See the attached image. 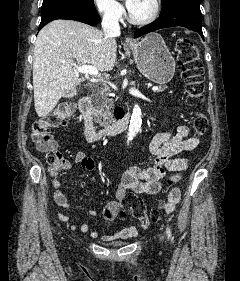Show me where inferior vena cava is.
<instances>
[{
	"instance_id": "602c4592",
	"label": "inferior vena cava",
	"mask_w": 240,
	"mask_h": 281,
	"mask_svg": "<svg viewBox=\"0 0 240 281\" xmlns=\"http://www.w3.org/2000/svg\"><path fill=\"white\" fill-rule=\"evenodd\" d=\"M102 28L104 37L107 40H114L115 37L120 36V26L117 17L110 12H105L102 19Z\"/></svg>"
}]
</instances>
